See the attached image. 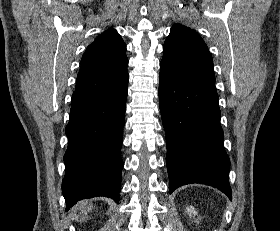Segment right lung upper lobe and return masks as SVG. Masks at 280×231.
<instances>
[{"label":"right lung upper lobe","mask_w":280,"mask_h":231,"mask_svg":"<svg viewBox=\"0 0 280 231\" xmlns=\"http://www.w3.org/2000/svg\"><path fill=\"white\" fill-rule=\"evenodd\" d=\"M80 64L71 104L87 102L128 84L126 44L114 29L88 46Z\"/></svg>","instance_id":"cb5924a9"}]
</instances>
